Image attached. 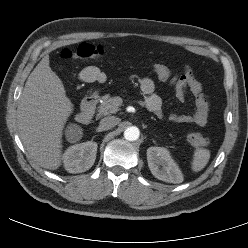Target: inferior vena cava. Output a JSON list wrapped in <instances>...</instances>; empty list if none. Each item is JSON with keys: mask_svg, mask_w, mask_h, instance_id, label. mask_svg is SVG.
I'll return each instance as SVG.
<instances>
[{"mask_svg": "<svg viewBox=\"0 0 248 248\" xmlns=\"http://www.w3.org/2000/svg\"><path fill=\"white\" fill-rule=\"evenodd\" d=\"M119 123V119L115 116H107L101 119L99 124L100 130H108L113 128Z\"/></svg>", "mask_w": 248, "mask_h": 248, "instance_id": "602c4592", "label": "inferior vena cava"}]
</instances>
